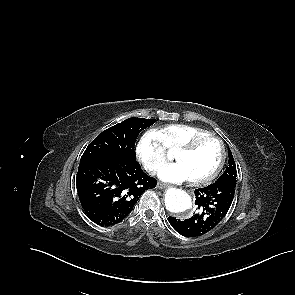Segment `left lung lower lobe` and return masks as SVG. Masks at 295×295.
I'll list each match as a JSON object with an SVG mask.
<instances>
[{
    "label": "left lung lower lobe",
    "instance_id": "obj_1",
    "mask_svg": "<svg viewBox=\"0 0 295 295\" xmlns=\"http://www.w3.org/2000/svg\"><path fill=\"white\" fill-rule=\"evenodd\" d=\"M236 182L220 181L195 190V205L199 213L180 221L168 217L171 226L185 236H201L214 227L226 216L234 197Z\"/></svg>",
    "mask_w": 295,
    "mask_h": 295
}]
</instances>
